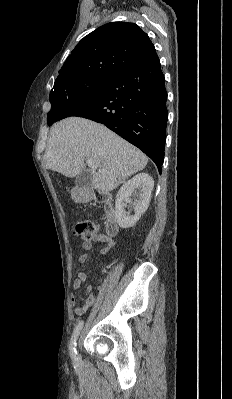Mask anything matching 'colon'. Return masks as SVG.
<instances>
[{"label": "colon", "instance_id": "colon-1", "mask_svg": "<svg viewBox=\"0 0 232 399\" xmlns=\"http://www.w3.org/2000/svg\"><path fill=\"white\" fill-rule=\"evenodd\" d=\"M93 232H96V227L92 224V218H84V222H82V218H77L72 232L74 237L89 240V238H93ZM93 294H98V289H93Z\"/></svg>", "mask_w": 232, "mask_h": 399}]
</instances>
